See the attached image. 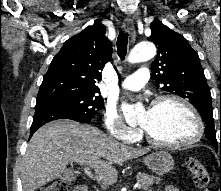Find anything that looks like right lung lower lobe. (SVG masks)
<instances>
[{
    "label": "right lung lower lobe",
    "instance_id": "right-lung-lower-lobe-1",
    "mask_svg": "<svg viewBox=\"0 0 221 191\" xmlns=\"http://www.w3.org/2000/svg\"><path fill=\"white\" fill-rule=\"evenodd\" d=\"M57 119H71L80 123H86L82 120L72 117L64 109L52 104L51 102H37L33 123L31 125L30 137L34 132L47 122Z\"/></svg>",
    "mask_w": 221,
    "mask_h": 191
}]
</instances>
